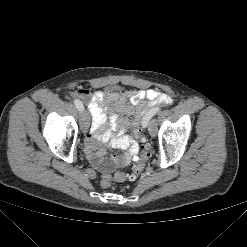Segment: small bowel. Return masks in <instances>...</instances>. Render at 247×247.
<instances>
[{"label":"small bowel","mask_w":247,"mask_h":247,"mask_svg":"<svg viewBox=\"0 0 247 247\" xmlns=\"http://www.w3.org/2000/svg\"><path fill=\"white\" fill-rule=\"evenodd\" d=\"M87 103L92 116L91 132L86 137V154L95 168L109 172L127 166L137 158L139 145L126 132L141 122L148 108L157 104H170V96L155 89L140 90H97L79 88L73 93ZM109 119L110 128L103 131ZM103 144L124 151L105 160Z\"/></svg>","instance_id":"1"}]
</instances>
